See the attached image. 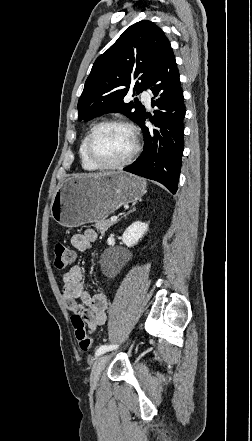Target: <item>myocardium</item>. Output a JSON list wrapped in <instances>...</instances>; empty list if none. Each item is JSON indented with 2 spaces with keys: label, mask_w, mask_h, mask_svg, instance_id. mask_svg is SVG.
<instances>
[{
  "label": "myocardium",
  "mask_w": 252,
  "mask_h": 441,
  "mask_svg": "<svg viewBox=\"0 0 252 441\" xmlns=\"http://www.w3.org/2000/svg\"><path fill=\"white\" fill-rule=\"evenodd\" d=\"M121 126L126 128L132 137V149L130 153L121 161L115 162V163H102L99 160H97L93 154H92V141L96 135V133L104 126ZM140 145H139V139L136 128L128 121L123 119H106L99 123H97L89 132V135L86 140L85 145V153L88 160L97 168L99 169H120L128 165L137 155L139 151Z\"/></svg>",
  "instance_id": "myocardium-1"
}]
</instances>
